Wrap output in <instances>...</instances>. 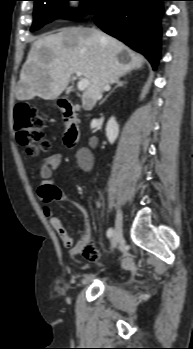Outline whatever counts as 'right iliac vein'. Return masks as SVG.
<instances>
[{
    "mask_svg": "<svg viewBox=\"0 0 193 349\" xmlns=\"http://www.w3.org/2000/svg\"><path fill=\"white\" fill-rule=\"evenodd\" d=\"M122 213L119 211L116 218L115 228L111 239V250H113L122 239Z\"/></svg>",
    "mask_w": 193,
    "mask_h": 349,
    "instance_id": "63e3f726",
    "label": "right iliac vein"
}]
</instances>
